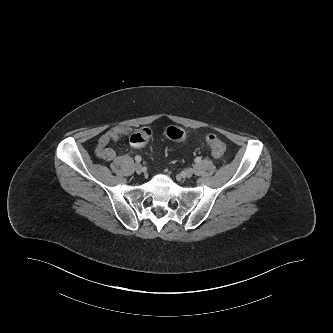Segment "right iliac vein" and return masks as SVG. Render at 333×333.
I'll return each mask as SVG.
<instances>
[{"label":"right iliac vein","mask_w":333,"mask_h":333,"mask_svg":"<svg viewBox=\"0 0 333 333\" xmlns=\"http://www.w3.org/2000/svg\"><path fill=\"white\" fill-rule=\"evenodd\" d=\"M135 170L138 174L142 173V171H143L142 165L140 163H136Z\"/></svg>","instance_id":"obj_1"}]
</instances>
